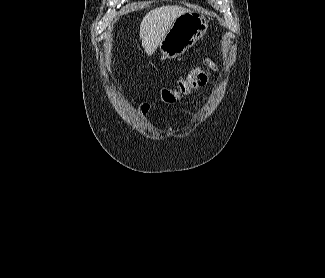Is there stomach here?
I'll list each match as a JSON object with an SVG mask.
<instances>
[{"label":"stomach","mask_w":325,"mask_h":278,"mask_svg":"<svg viewBox=\"0 0 325 278\" xmlns=\"http://www.w3.org/2000/svg\"><path fill=\"white\" fill-rule=\"evenodd\" d=\"M207 28L203 15L192 11L182 14L159 44L161 53L168 59L179 57L205 35Z\"/></svg>","instance_id":"stomach-1"}]
</instances>
